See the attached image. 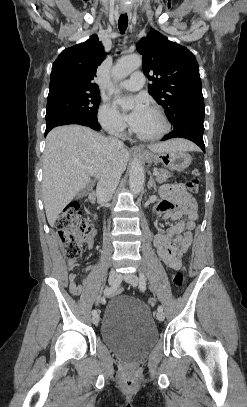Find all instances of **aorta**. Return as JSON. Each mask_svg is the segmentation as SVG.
Wrapping results in <instances>:
<instances>
[{
	"label": "aorta",
	"mask_w": 247,
	"mask_h": 407,
	"mask_svg": "<svg viewBox=\"0 0 247 407\" xmlns=\"http://www.w3.org/2000/svg\"><path fill=\"white\" fill-rule=\"evenodd\" d=\"M142 64V59L139 55H129L122 57L117 61L112 69V76L115 81H119L127 77ZM116 91V90H114ZM129 185L130 190L134 195H138L144 185V168L140 160H134L129 170Z\"/></svg>",
	"instance_id": "1"
}]
</instances>
